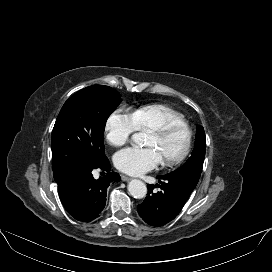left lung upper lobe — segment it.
<instances>
[{
  "mask_svg": "<svg viewBox=\"0 0 272 272\" xmlns=\"http://www.w3.org/2000/svg\"><path fill=\"white\" fill-rule=\"evenodd\" d=\"M206 152V137L202 126H197L195 147L191 157L188 158L185 164L178 169L168 173L167 175L185 179L193 184L198 183L201 175L203 161Z\"/></svg>",
  "mask_w": 272,
  "mask_h": 272,
  "instance_id": "5c2ea615",
  "label": "left lung upper lobe"
}]
</instances>
